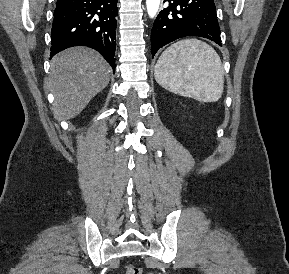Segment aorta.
Here are the masks:
<instances>
[{
    "instance_id": "aorta-1",
    "label": "aorta",
    "mask_w": 289,
    "mask_h": 274,
    "mask_svg": "<svg viewBox=\"0 0 289 274\" xmlns=\"http://www.w3.org/2000/svg\"><path fill=\"white\" fill-rule=\"evenodd\" d=\"M160 0H146L147 12L151 18H154L158 12Z\"/></svg>"
}]
</instances>
